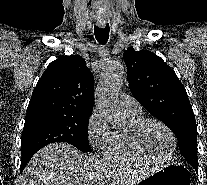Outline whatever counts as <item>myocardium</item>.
Returning <instances> with one entry per match:
<instances>
[{"label": "myocardium", "instance_id": "f54148a6", "mask_svg": "<svg viewBox=\"0 0 207 185\" xmlns=\"http://www.w3.org/2000/svg\"><path fill=\"white\" fill-rule=\"evenodd\" d=\"M151 123L158 124L161 127H163L171 137L173 149H172V153L170 154V156L166 159H156L153 156H151L149 154V152L147 151V148L144 144L143 132H144L145 128ZM131 137H132V140H133L134 144L136 145L137 149L147 159H149L150 161H152L156 164H167V163L171 162L176 156L177 148H178V142H177L176 135H175L174 131L170 128V126L167 125L165 122H163L160 119H157V118H143V119H141L133 126V128L131 130Z\"/></svg>", "mask_w": 207, "mask_h": 185}]
</instances>
